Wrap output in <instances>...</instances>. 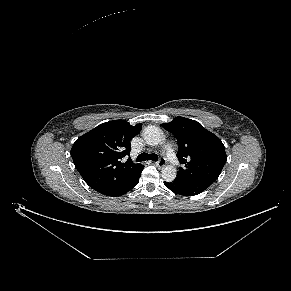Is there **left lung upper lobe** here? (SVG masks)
<instances>
[{"instance_id":"left-lung-upper-lobe-1","label":"left lung upper lobe","mask_w":291,"mask_h":291,"mask_svg":"<svg viewBox=\"0 0 291 291\" xmlns=\"http://www.w3.org/2000/svg\"><path fill=\"white\" fill-rule=\"evenodd\" d=\"M177 139V157L180 167L177 176L187 180H216L227 160L222 141L200 123L184 117H176L162 124Z\"/></svg>"}]
</instances>
